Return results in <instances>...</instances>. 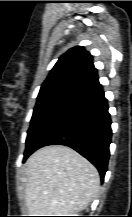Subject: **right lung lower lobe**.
<instances>
[{
	"label": "right lung lower lobe",
	"instance_id": "98d812e1",
	"mask_svg": "<svg viewBox=\"0 0 132 217\" xmlns=\"http://www.w3.org/2000/svg\"><path fill=\"white\" fill-rule=\"evenodd\" d=\"M111 119L102 87L65 106L24 153V160L47 145H65L87 158L104 180L111 143Z\"/></svg>",
	"mask_w": 132,
	"mask_h": 217
}]
</instances>
